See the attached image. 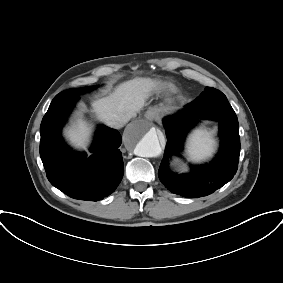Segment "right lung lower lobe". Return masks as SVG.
Listing matches in <instances>:
<instances>
[{
  "label": "right lung lower lobe",
  "instance_id": "98d812e1",
  "mask_svg": "<svg viewBox=\"0 0 283 283\" xmlns=\"http://www.w3.org/2000/svg\"><path fill=\"white\" fill-rule=\"evenodd\" d=\"M78 99L77 93L64 92L52 100L40 126V156L54 187L74 199L98 201L114 192L123 177L121 136L102 126L91 156L71 151L63 143L61 128Z\"/></svg>",
  "mask_w": 283,
  "mask_h": 283
}]
</instances>
